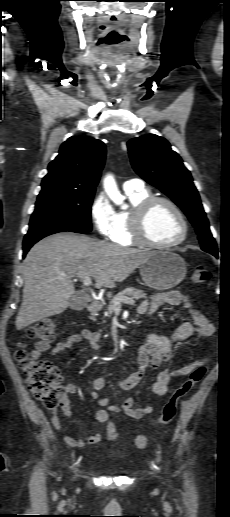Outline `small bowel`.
I'll return each mask as SVG.
<instances>
[{"label":"small bowel","mask_w":230,"mask_h":517,"mask_svg":"<svg viewBox=\"0 0 230 517\" xmlns=\"http://www.w3.org/2000/svg\"><path fill=\"white\" fill-rule=\"evenodd\" d=\"M165 305H183L185 313L191 318V320L182 323L171 336L146 333L143 337V344L141 345L137 356V371L123 380L115 381L114 385L117 388L121 390H130L137 386L147 369H157L171 360L173 348L177 344L190 339L211 337L215 334V326L193 305L189 296L177 291L153 294L149 300H144L140 303L138 311L141 314L153 313L157 308ZM100 338L101 335L98 332L85 328L79 333L71 334L66 339L59 341L54 347H51L48 342H36L33 347L32 354L39 357L43 353L49 351L51 355H57L60 352L79 344H87L91 348L99 350L103 348V345L100 343ZM208 361L209 357L205 356L199 360H190L179 368H165L161 370L158 373L156 380L151 385L152 392L158 396L167 395L169 383L173 377L187 375L194 368L200 365H205ZM107 379V370H103L102 374L92 381L93 390L90 395L100 407L94 414V420L97 423H106L108 421L109 413H124L135 419H140L153 413L154 408L151 405L134 408V399L132 397L126 398L119 404L108 405V399L100 396L98 393L99 390L105 387ZM65 391L66 395L61 400L60 408L63 415L70 418L72 416V409L70 406L69 395L74 394L77 391V386L74 383H68L65 386ZM51 423L55 430L59 432L62 431L61 420L56 410L51 413ZM110 426H112V424H108V428ZM102 436L103 434L101 432L93 433L86 439L65 435L64 442L71 447H85L99 443Z\"/></svg>","instance_id":"c3829d8e"}]
</instances>
